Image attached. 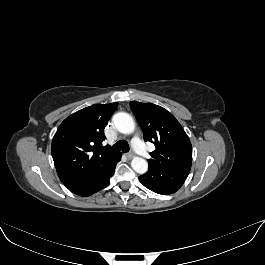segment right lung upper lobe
<instances>
[{"instance_id": "right-lung-upper-lobe-1", "label": "right lung upper lobe", "mask_w": 265, "mask_h": 265, "mask_svg": "<svg viewBox=\"0 0 265 265\" xmlns=\"http://www.w3.org/2000/svg\"><path fill=\"white\" fill-rule=\"evenodd\" d=\"M118 103L94 104L68 116L52 140V157L62 183L71 187L120 153L101 147L104 128Z\"/></svg>"}]
</instances>
